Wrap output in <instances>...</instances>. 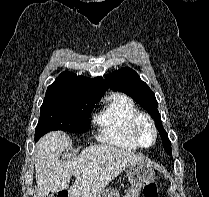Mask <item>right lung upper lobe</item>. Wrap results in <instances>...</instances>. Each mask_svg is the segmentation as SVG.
<instances>
[{
    "mask_svg": "<svg viewBox=\"0 0 209 197\" xmlns=\"http://www.w3.org/2000/svg\"><path fill=\"white\" fill-rule=\"evenodd\" d=\"M50 86L75 87L85 90L91 96L101 98L107 90V84L102 77L94 79L77 76L72 72H62L55 82Z\"/></svg>",
    "mask_w": 209,
    "mask_h": 197,
    "instance_id": "cb5924a9",
    "label": "right lung upper lobe"
}]
</instances>
